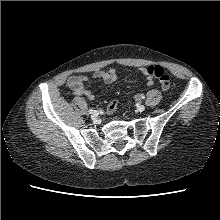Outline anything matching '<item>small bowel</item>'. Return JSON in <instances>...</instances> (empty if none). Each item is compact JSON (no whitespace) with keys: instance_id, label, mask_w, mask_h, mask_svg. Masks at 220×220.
<instances>
[{"instance_id":"small-bowel-1","label":"small bowel","mask_w":220,"mask_h":220,"mask_svg":"<svg viewBox=\"0 0 220 220\" xmlns=\"http://www.w3.org/2000/svg\"><path fill=\"white\" fill-rule=\"evenodd\" d=\"M147 69L148 67H141L139 71L145 77L146 84L150 86L154 82V77L148 73ZM117 77L118 74L115 69H109L106 71H96L93 74V78L101 79L106 83H112L116 81ZM88 80L89 78L84 75H72L68 78L66 85L73 91L75 95L85 96L89 100H94L95 95L93 91L85 87V83Z\"/></svg>"}]
</instances>
